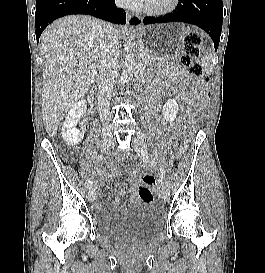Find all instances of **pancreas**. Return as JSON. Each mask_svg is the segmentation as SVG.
I'll return each mask as SVG.
<instances>
[{"mask_svg":"<svg viewBox=\"0 0 265 273\" xmlns=\"http://www.w3.org/2000/svg\"><path fill=\"white\" fill-rule=\"evenodd\" d=\"M144 55L142 56V62L146 65V66H151L153 64H155L156 62H158L160 65H165L167 62L164 59H155L154 57H152L146 50L142 49L140 50Z\"/></svg>","mask_w":265,"mask_h":273,"instance_id":"1","label":"pancreas"}]
</instances>
